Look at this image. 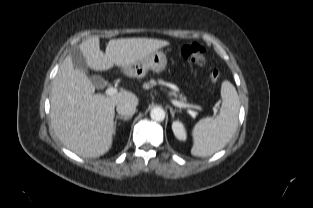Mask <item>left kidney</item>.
<instances>
[{
  "mask_svg": "<svg viewBox=\"0 0 313 208\" xmlns=\"http://www.w3.org/2000/svg\"><path fill=\"white\" fill-rule=\"evenodd\" d=\"M172 130L177 139L186 140V130L180 121H174L172 123Z\"/></svg>",
  "mask_w": 313,
  "mask_h": 208,
  "instance_id": "left-kidney-1",
  "label": "left kidney"
}]
</instances>
